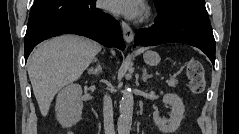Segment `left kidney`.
<instances>
[{
  "instance_id": "left-kidney-1",
  "label": "left kidney",
  "mask_w": 239,
  "mask_h": 134,
  "mask_svg": "<svg viewBox=\"0 0 239 134\" xmlns=\"http://www.w3.org/2000/svg\"><path fill=\"white\" fill-rule=\"evenodd\" d=\"M163 103L171 106L170 119L161 118L159 112L156 111L153 113V120L161 132L171 134L179 128L184 117V104L178 95L170 93L164 95Z\"/></svg>"
}]
</instances>
